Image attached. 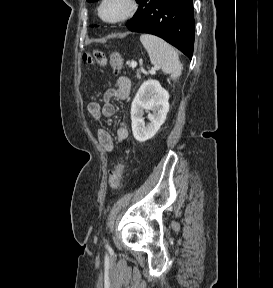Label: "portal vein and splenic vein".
<instances>
[{
	"label": "portal vein and splenic vein",
	"mask_w": 273,
	"mask_h": 288,
	"mask_svg": "<svg viewBox=\"0 0 273 288\" xmlns=\"http://www.w3.org/2000/svg\"><path fill=\"white\" fill-rule=\"evenodd\" d=\"M132 68H135L137 66V62L135 61H132L131 62V65H130ZM159 69V66L158 65H155L151 70H150V73H155L156 70Z\"/></svg>",
	"instance_id": "1"
}]
</instances>
